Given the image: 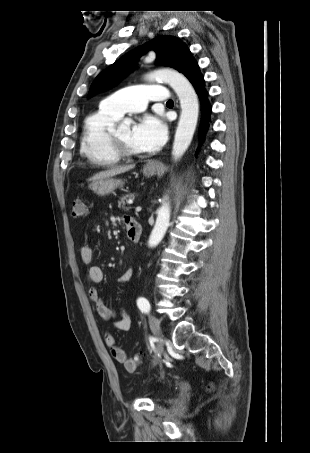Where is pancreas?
I'll use <instances>...</instances> for the list:
<instances>
[{"mask_svg":"<svg viewBox=\"0 0 310 453\" xmlns=\"http://www.w3.org/2000/svg\"><path fill=\"white\" fill-rule=\"evenodd\" d=\"M134 199H135V194H127L120 199V201L118 202V207L125 211H128L130 209V207L126 206V204H127L128 200H134Z\"/></svg>","mask_w":310,"mask_h":453,"instance_id":"1","label":"pancreas"}]
</instances>
